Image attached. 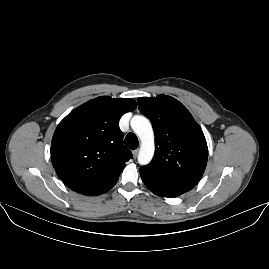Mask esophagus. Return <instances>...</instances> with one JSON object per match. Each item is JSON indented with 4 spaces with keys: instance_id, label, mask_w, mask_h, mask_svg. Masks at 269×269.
Segmentation results:
<instances>
[{
    "instance_id": "esophagus-1",
    "label": "esophagus",
    "mask_w": 269,
    "mask_h": 269,
    "mask_svg": "<svg viewBox=\"0 0 269 269\" xmlns=\"http://www.w3.org/2000/svg\"><path fill=\"white\" fill-rule=\"evenodd\" d=\"M132 154H133V158L136 159L138 155V150H133Z\"/></svg>"
}]
</instances>
